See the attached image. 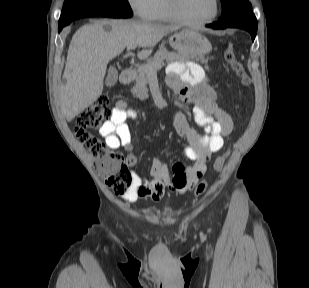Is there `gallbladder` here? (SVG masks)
<instances>
[{
  "instance_id": "1",
  "label": "gallbladder",
  "mask_w": 309,
  "mask_h": 288,
  "mask_svg": "<svg viewBox=\"0 0 309 288\" xmlns=\"http://www.w3.org/2000/svg\"><path fill=\"white\" fill-rule=\"evenodd\" d=\"M117 79H118V72L111 68L108 72V76L106 78V86L108 87H111V86H114L117 82Z\"/></svg>"
}]
</instances>
